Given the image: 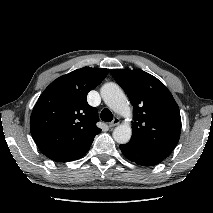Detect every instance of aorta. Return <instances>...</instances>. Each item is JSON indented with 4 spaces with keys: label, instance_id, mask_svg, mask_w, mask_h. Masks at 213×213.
<instances>
[{
    "label": "aorta",
    "instance_id": "obj_1",
    "mask_svg": "<svg viewBox=\"0 0 213 213\" xmlns=\"http://www.w3.org/2000/svg\"><path fill=\"white\" fill-rule=\"evenodd\" d=\"M101 96L105 104L115 113L128 116L131 112L127 97L116 83H106L101 88ZM113 138L119 144L129 142L132 129L129 124H120L113 130Z\"/></svg>",
    "mask_w": 213,
    "mask_h": 213
}]
</instances>
